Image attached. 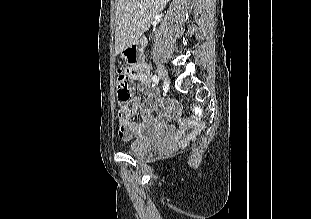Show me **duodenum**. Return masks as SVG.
<instances>
[{"label": "duodenum", "mask_w": 311, "mask_h": 219, "mask_svg": "<svg viewBox=\"0 0 311 219\" xmlns=\"http://www.w3.org/2000/svg\"><path fill=\"white\" fill-rule=\"evenodd\" d=\"M146 45V39L140 37L132 46L129 48V53L134 57L135 62L140 64L143 61V50Z\"/></svg>", "instance_id": "obj_1"}]
</instances>
